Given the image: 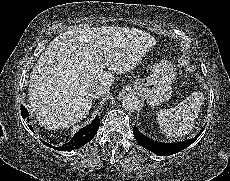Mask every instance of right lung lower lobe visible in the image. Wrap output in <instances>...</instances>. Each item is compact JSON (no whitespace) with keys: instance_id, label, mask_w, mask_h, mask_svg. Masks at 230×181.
I'll list each match as a JSON object with an SVG mask.
<instances>
[{"instance_id":"obj_1","label":"right lung lower lobe","mask_w":230,"mask_h":181,"mask_svg":"<svg viewBox=\"0 0 230 181\" xmlns=\"http://www.w3.org/2000/svg\"><path fill=\"white\" fill-rule=\"evenodd\" d=\"M21 114L23 118H26L28 116V112L24 106H21ZM27 120H29V118H27ZM99 125H100V119L99 116L97 115L96 118L89 126L79 130V132H77L68 143L63 144L60 147H53V148L59 151H70V150L80 148L86 143H88L89 141H91V139L96 135ZM28 126L30 130L33 131L32 126L31 125ZM42 143L47 145L48 147H52V145L44 141H42Z\"/></svg>"}]
</instances>
